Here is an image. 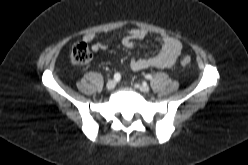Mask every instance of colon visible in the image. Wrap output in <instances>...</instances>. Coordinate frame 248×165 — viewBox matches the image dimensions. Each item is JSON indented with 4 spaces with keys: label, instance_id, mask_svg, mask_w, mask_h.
Here are the masks:
<instances>
[{
    "label": "colon",
    "instance_id": "obj_1",
    "mask_svg": "<svg viewBox=\"0 0 248 165\" xmlns=\"http://www.w3.org/2000/svg\"><path fill=\"white\" fill-rule=\"evenodd\" d=\"M92 59V52L85 42H79L72 48L70 60L74 65L82 66L88 64ZM183 66H188L191 63L189 56H183L180 60Z\"/></svg>",
    "mask_w": 248,
    "mask_h": 165
}]
</instances>
